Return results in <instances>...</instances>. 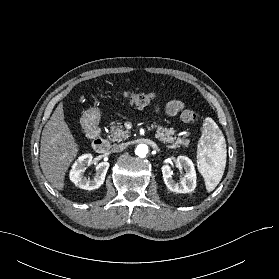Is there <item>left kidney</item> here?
<instances>
[{
    "instance_id": "obj_1",
    "label": "left kidney",
    "mask_w": 279,
    "mask_h": 279,
    "mask_svg": "<svg viewBox=\"0 0 279 279\" xmlns=\"http://www.w3.org/2000/svg\"><path fill=\"white\" fill-rule=\"evenodd\" d=\"M176 165L185 170V175L181 181L176 182L172 179L171 167L166 164L162 166V174L165 185L176 193H190L196 187V171L193 162L186 156H179Z\"/></svg>"
}]
</instances>
